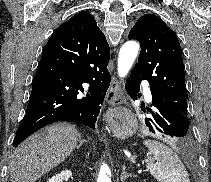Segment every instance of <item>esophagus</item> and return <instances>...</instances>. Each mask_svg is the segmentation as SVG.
Returning <instances> with one entry per match:
<instances>
[{"label":"esophagus","mask_w":211,"mask_h":182,"mask_svg":"<svg viewBox=\"0 0 211 182\" xmlns=\"http://www.w3.org/2000/svg\"><path fill=\"white\" fill-rule=\"evenodd\" d=\"M106 100L109 104L113 106H117L122 104L126 97L121 89L120 83L116 78H113L110 84V87L108 89Z\"/></svg>","instance_id":"esophagus-1"}]
</instances>
